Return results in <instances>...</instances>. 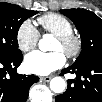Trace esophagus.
I'll list each match as a JSON object with an SVG mask.
<instances>
[{"instance_id": "1", "label": "esophagus", "mask_w": 102, "mask_h": 102, "mask_svg": "<svg viewBox=\"0 0 102 102\" xmlns=\"http://www.w3.org/2000/svg\"><path fill=\"white\" fill-rule=\"evenodd\" d=\"M52 79V76L40 77V80L43 82H49Z\"/></svg>"}]
</instances>
